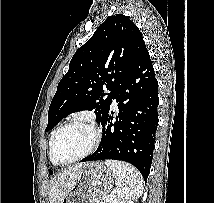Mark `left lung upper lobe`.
<instances>
[{
    "label": "left lung upper lobe",
    "mask_w": 214,
    "mask_h": 203,
    "mask_svg": "<svg viewBox=\"0 0 214 203\" xmlns=\"http://www.w3.org/2000/svg\"><path fill=\"white\" fill-rule=\"evenodd\" d=\"M145 49L140 30L128 17H108L72 57L51 101L46 131L79 110L94 109L101 122L121 81ZM103 87L111 92L105 94Z\"/></svg>",
    "instance_id": "1"
}]
</instances>
